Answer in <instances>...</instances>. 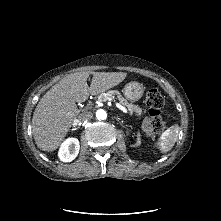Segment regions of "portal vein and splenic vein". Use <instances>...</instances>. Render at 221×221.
Returning a JSON list of instances; mask_svg holds the SVG:
<instances>
[{"label": "portal vein and splenic vein", "instance_id": "18ae733b", "mask_svg": "<svg viewBox=\"0 0 221 221\" xmlns=\"http://www.w3.org/2000/svg\"><path fill=\"white\" fill-rule=\"evenodd\" d=\"M113 101V98L110 97V96H106L104 99H101V98H98V101L101 102V101ZM115 105L118 109H120L123 113H128L127 109L122 106L121 104L115 102Z\"/></svg>", "mask_w": 221, "mask_h": 221}]
</instances>
